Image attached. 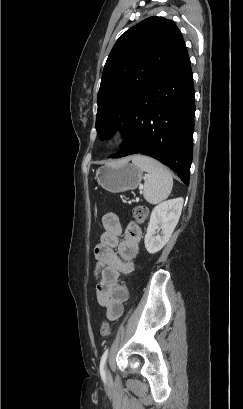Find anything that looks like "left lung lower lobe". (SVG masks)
<instances>
[{"instance_id":"0a47b994","label":"left lung lower lobe","mask_w":243,"mask_h":409,"mask_svg":"<svg viewBox=\"0 0 243 409\" xmlns=\"http://www.w3.org/2000/svg\"><path fill=\"white\" fill-rule=\"evenodd\" d=\"M194 86L185 42L153 77L133 113L120 151L109 158L144 154L189 184L193 156Z\"/></svg>"}]
</instances>
